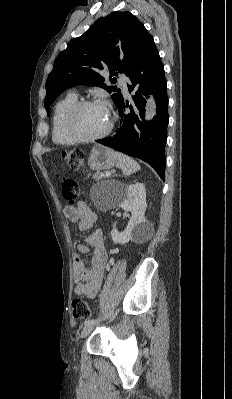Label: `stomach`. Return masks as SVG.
<instances>
[{
	"label": "stomach",
	"mask_w": 232,
	"mask_h": 399,
	"mask_svg": "<svg viewBox=\"0 0 232 399\" xmlns=\"http://www.w3.org/2000/svg\"><path fill=\"white\" fill-rule=\"evenodd\" d=\"M116 164V154L106 146H93L88 160L90 170H110Z\"/></svg>",
	"instance_id": "1"
}]
</instances>
